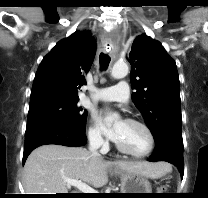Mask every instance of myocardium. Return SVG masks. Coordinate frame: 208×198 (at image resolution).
Instances as JSON below:
<instances>
[{
    "mask_svg": "<svg viewBox=\"0 0 208 198\" xmlns=\"http://www.w3.org/2000/svg\"><path fill=\"white\" fill-rule=\"evenodd\" d=\"M125 121L128 123L137 125L145 131V133L147 134V137L149 139V146L146 151H144L142 153H136V152L130 151L129 149L125 148L120 143L115 141L116 148L121 153L126 154L131 157H134V158H144V157L149 156L154 151L155 145H156L155 135H154L153 131L151 130V128L146 123H144L140 120L134 119V118H128Z\"/></svg>",
    "mask_w": 208,
    "mask_h": 198,
    "instance_id": "obj_1",
    "label": "myocardium"
}]
</instances>
